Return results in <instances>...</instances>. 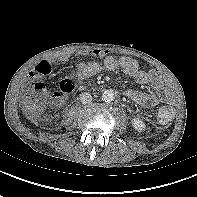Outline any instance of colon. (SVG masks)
Returning <instances> with one entry per match:
<instances>
[{
	"mask_svg": "<svg viewBox=\"0 0 197 197\" xmlns=\"http://www.w3.org/2000/svg\"><path fill=\"white\" fill-rule=\"evenodd\" d=\"M74 89V81L71 79H63L59 85V91L51 97L53 104H60L63 97ZM46 95V87L42 82H36L33 89L29 91L22 100V108L26 115L30 118H37L43 108ZM174 116V110L170 106H163L159 109L158 120L163 123H169Z\"/></svg>",
	"mask_w": 197,
	"mask_h": 197,
	"instance_id": "5ec220e1",
	"label": "colon"
}]
</instances>
